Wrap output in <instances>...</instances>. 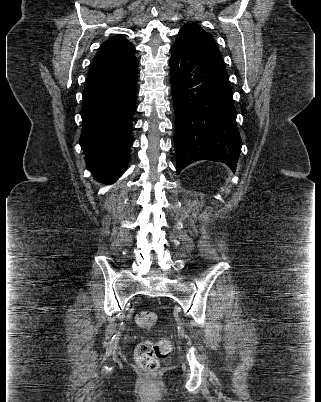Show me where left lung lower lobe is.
Wrapping results in <instances>:
<instances>
[{"mask_svg": "<svg viewBox=\"0 0 321 402\" xmlns=\"http://www.w3.org/2000/svg\"><path fill=\"white\" fill-rule=\"evenodd\" d=\"M171 51L177 174L201 159L223 162L234 171L242 141L224 61L177 43Z\"/></svg>", "mask_w": 321, "mask_h": 402, "instance_id": "left-lung-lower-lobe-1", "label": "left lung lower lobe"}]
</instances>
